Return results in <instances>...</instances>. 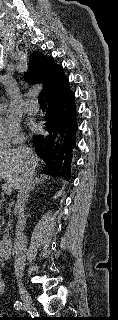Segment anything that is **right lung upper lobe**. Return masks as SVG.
<instances>
[{
  "instance_id": "right-lung-upper-lobe-1",
  "label": "right lung upper lobe",
  "mask_w": 118,
  "mask_h": 320,
  "mask_svg": "<svg viewBox=\"0 0 118 320\" xmlns=\"http://www.w3.org/2000/svg\"><path fill=\"white\" fill-rule=\"evenodd\" d=\"M26 78L31 84H43L41 96L45 99L60 92L68 85V79L63 75V68L53 62V58H45L39 52L31 55Z\"/></svg>"
}]
</instances>
